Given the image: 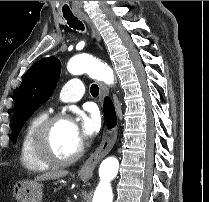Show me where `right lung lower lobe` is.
<instances>
[{"instance_id": "obj_1", "label": "right lung lower lobe", "mask_w": 209, "mask_h": 202, "mask_svg": "<svg viewBox=\"0 0 209 202\" xmlns=\"http://www.w3.org/2000/svg\"><path fill=\"white\" fill-rule=\"evenodd\" d=\"M104 116L108 128H112L116 125V114L113 103L110 98L106 97L104 100Z\"/></svg>"}]
</instances>
